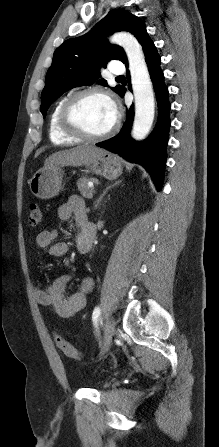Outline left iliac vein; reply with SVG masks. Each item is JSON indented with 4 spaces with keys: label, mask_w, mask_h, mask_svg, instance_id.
I'll return each instance as SVG.
<instances>
[{
    "label": "left iliac vein",
    "mask_w": 219,
    "mask_h": 447,
    "mask_svg": "<svg viewBox=\"0 0 219 447\" xmlns=\"http://www.w3.org/2000/svg\"><path fill=\"white\" fill-rule=\"evenodd\" d=\"M115 333V325L111 318H107L104 331V352L110 347Z\"/></svg>",
    "instance_id": "obj_1"
}]
</instances>
